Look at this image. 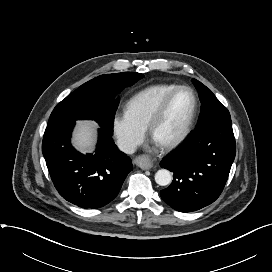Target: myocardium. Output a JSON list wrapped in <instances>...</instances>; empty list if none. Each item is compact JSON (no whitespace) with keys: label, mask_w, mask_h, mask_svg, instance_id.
Returning a JSON list of instances; mask_svg holds the SVG:
<instances>
[{"label":"myocardium","mask_w":272,"mask_h":272,"mask_svg":"<svg viewBox=\"0 0 272 272\" xmlns=\"http://www.w3.org/2000/svg\"><path fill=\"white\" fill-rule=\"evenodd\" d=\"M188 91L192 98H193V107H192V111L191 114L183 128V130L181 131V133L174 138L171 141L159 144V146L164 149V150H171L174 149L176 147H178L179 145H181L189 136V134L192 131V128L194 126L196 117H197V113H198V108H199V102H198V97L195 93V91L188 87V86H178L175 89H173L171 92H169L164 99L161 101V103L159 104V106L157 107V109L155 110L154 114L152 115L149 123H148V133L150 135L151 138H153L154 135V131L157 127V125L160 123V121L163 119L170 102L172 101L173 97L180 91Z\"/></svg>","instance_id":"obj_1"}]
</instances>
